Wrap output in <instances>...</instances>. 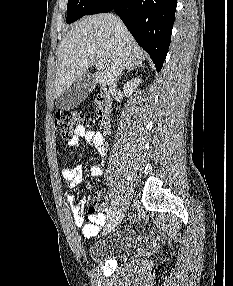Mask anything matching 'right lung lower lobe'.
Listing matches in <instances>:
<instances>
[{
	"label": "right lung lower lobe",
	"instance_id": "1",
	"mask_svg": "<svg viewBox=\"0 0 233 286\" xmlns=\"http://www.w3.org/2000/svg\"><path fill=\"white\" fill-rule=\"evenodd\" d=\"M176 5L177 0H100L87 15L114 10L159 72L170 45Z\"/></svg>",
	"mask_w": 233,
	"mask_h": 286
}]
</instances>
